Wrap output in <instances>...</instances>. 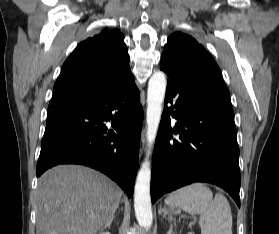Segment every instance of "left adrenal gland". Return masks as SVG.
Here are the masks:
<instances>
[{
  "instance_id": "a2214340",
  "label": "left adrenal gland",
  "mask_w": 279,
  "mask_h": 234,
  "mask_svg": "<svg viewBox=\"0 0 279 234\" xmlns=\"http://www.w3.org/2000/svg\"><path fill=\"white\" fill-rule=\"evenodd\" d=\"M167 234H175L173 231V225L172 223L170 224L169 230L167 231Z\"/></svg>"
}]
</instances>
